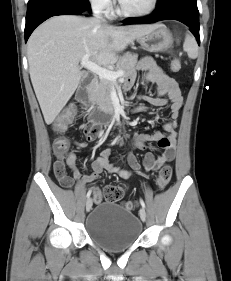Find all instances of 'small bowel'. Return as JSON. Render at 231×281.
Listing matches in <instances>:
<instances>
[{"instance_id": "small-bowel-1", "label": "small bowel", "mask_w": 231, "mask_h": 281, "mask_svg": "<svg viewBox=\"0 0 231 281\" xmlns=\"http://www.w3.org/2000/svg\"><path fill=\"white\" fill-rule=\"evenodd\" d=\"M138 68L146 71L144 82H153L157 85L155 96L141 95L139 98L147 100L155 106H165L170 103V118L164 125V132H156L153 134L138 135L133 139V148L138 150H146L148 142H156L162 149V154L155 157L150 151H146L142 164L138 161L136 155L130 152L127 156V162L132 171L122 169L110 162V149H104L100 155L92 162V173H81L76 165V157L73 153H69L66 160H56L53 165L54 173L59 183L68 189L73 187V179L67 174L66 166L72 172L73 178L82 184L91 183L96 180L99 175L106 171L116 173L123 178H130L133 173L140 172L142 168L146 171H154L162 167L175 158V148L177 142V126L183 105V97L177 82L168 76L151 57H144L139 61ZM134 83V75L130 76L126 81V88L130 89ZM80 130L84 135V141L76 143L79 148H84L87 143L95 140L102 133L99 126L84 123L80 126Z\"/></svg>"}]
</instances>
